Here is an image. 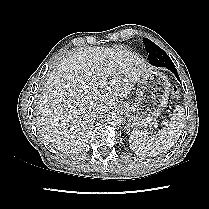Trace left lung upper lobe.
<instances>
[{"instance_id": "5c2ea615", "label": "left lung upper lobe", "mask_w": 209, "mask_h": 209, "mask_svg": "<svg viewBox=\"0 0 209 209\" xmlns=\"http://www.w3.org/2000/svg\"><path fill=\"white\" fill-rule=\"evenodd\" d=\"M145 48L149 53V62L156 67H166L167 69H175L170 57L151 40L144 38Z\"/></svg>"}]
</instances>
